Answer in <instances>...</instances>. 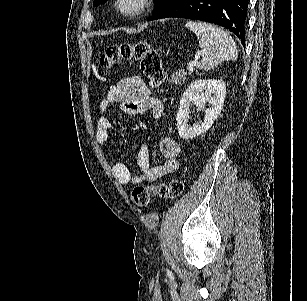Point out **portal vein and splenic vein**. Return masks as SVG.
<instances>
[{
	"label": "portal vein and splenic vein",
	"mask_w": 307,
	"mask_h": 301,
	"mask_svg": "<svg viewBox=\"0 0 307 301\" xmlns=\"http://www.w3.org/2000/svg\"><path fill=\"white\" fill-rule=\"evenodd\" d=\"M203 50H204V48H203ZM204 52H205V50H204ZM196 66H197L196 60H192V62H188L187 68H188V70H195Z\"/></svg>",
	"instance_id": "1"
}]
</instances>
